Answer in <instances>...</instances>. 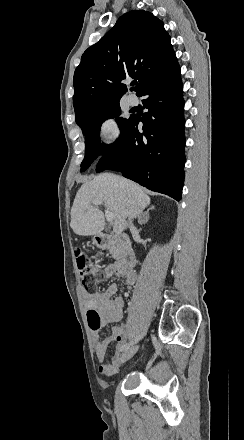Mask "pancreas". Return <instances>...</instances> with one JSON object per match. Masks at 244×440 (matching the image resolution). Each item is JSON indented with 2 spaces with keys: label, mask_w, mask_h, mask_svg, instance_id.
I'll return each mask as SVG.
<instances>
[{
  "label": "pancreas",
  "mask_w": 244,
  "mask_h": 440,
  "mask_svg": "<svg viewBox=\"0 0 244 440\" xmlns=\"http://www.w3.org/2000/svg\"><path fill=\"white\" fill-rule=\"evenodd\" d=\"M110 254H112V258H115V260H118L119 258V248L116 246V244H113V246H109L108 248Z\"/></svg>",
  "instance_id": "cf45deb5"
}]
</instances>
